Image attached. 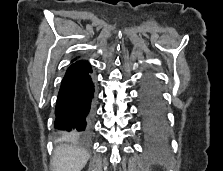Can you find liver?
<instances>
[{"mask_svg":"<svg viewBox=\"0 0 223 171\" xmlns=\"http://www.w3.org/2000/svg\"><path fill=\"white\" fill-rule=\"evenodd\" d=\"M89 159L88 153L81 148L62 145L56 148L52 159L53 171H81Z\"/></svg>","mask_w":223,"mask_h":171,"instance_id":"obj_1","label":"liver"}]
</instances>
